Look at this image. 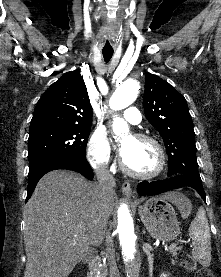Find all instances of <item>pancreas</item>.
I'll use <instances>...</instances> for the list:
<instances>
[{
  "label": "pancreas",
  "instance_id": "pancreas-1",
  "mask_svg": "<svg viewBox=\"0 0 221 277\" xmlns=\"http://www.w3.org/2000/svg\"><path fill=\"white\" fill-rule=\"evenodd\" d=\"M181 248H175V249H173V250H170V252H171V254H172V256L173 257H175L176 255H177V251L178 250H180ZM173 262V261H172ZM100 271V275H99V277H105L106 275H107V270L106 269H100L99 270Z\"/></svg>",
  "mask_w": 221,
  "mask_h": 277
}]
</instances>
